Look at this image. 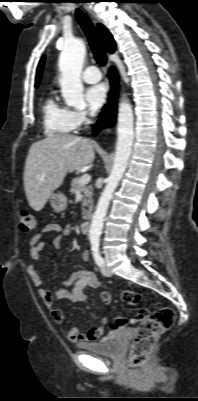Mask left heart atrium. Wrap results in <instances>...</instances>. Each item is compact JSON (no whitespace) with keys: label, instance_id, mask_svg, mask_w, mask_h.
<instances>
[{"label":"left heart atrium","instance_id":"1","mask_svg":"<svg viewBox=\"0 0 198 401\" xmlns=\"http://www.w3.org/2000/svg\"><path fill=\"white\" fill-rule=\"evenodd\" d=\"M107 89L105 84L98 83L90 86L85 92V100L91 112H97L105 103Z\"/></svg>","mask_w":198,"mask_h":401}]
</instances>
